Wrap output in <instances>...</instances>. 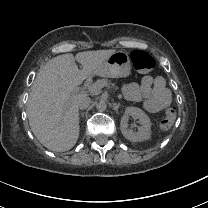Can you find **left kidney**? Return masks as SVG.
<instances>
[{"mask_svg":"<svg viewBox=\"0 0 208 208\" xmlns=\"http://www.w3.org/2000/svg\"><path fill=\"white\" fill-rule=\"evenodd\" d=\"M129 116L134 119H139L141 126L138 127V131L134 132L128 128ZM120 129L125 138L133 142H141L148 140L151 136V122L150 118L137 107H127L124 115L121 118Z\"/></svg>","mask_w":208,"mask_h":208,"instance_id":"1","label":"left kidney"}]
</instances>
